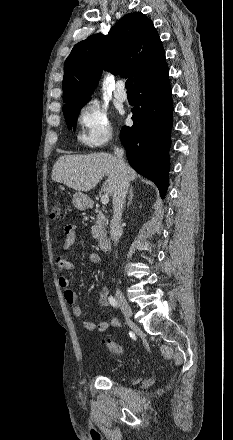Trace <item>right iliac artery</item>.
Here are the masks:
<instances>
[{
    "label": "right iliac artery",
    "mask_w": 233,
    "mask_h": 440,
    "mask_svg": "<svg viewBox=\"0 0 233 440\" xmlns=\"http://www.w3.org/2000/svg\"><path fill=\"white\" fill-rule=\"evenodd\" d=\"M109 303L113 306V307H118V303L115 300V298L113 296H110L109 298Z\"/></svg>",
    "instance_id": "82829eb1"
}]
</instances>
